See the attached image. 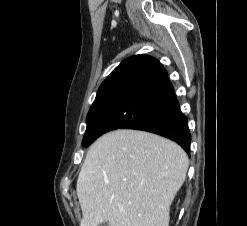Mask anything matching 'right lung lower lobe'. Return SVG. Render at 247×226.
<instances>
[{"label":"right lung lower lobe","instance_id":"right-lung-lower-lobe-1","mask_svg":"<svg viewBox=\"0 0 247 226\" xmlns=\"http://www.w3.org/2000/svg\"><path fill=\"white\" fill-rule=\"evenodd\" d=\"M114 129L152 132L175 141L190 153L187 118L180 110L167 71L155 58L135 55L126 59L92 136L84 146L88 147Z\"/></svg>","mask_w":247,"mask_h":226}]
</instances>
